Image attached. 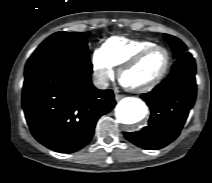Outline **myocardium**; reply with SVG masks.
<instances>
[{
	"instance_id": "1",
	"label": "myocardium",
	"mask_w": 212,
	"mask_h": 183,
	"mask_svg": "<svg viewBox=\"0 0 212 183\" xmlns=\"http://www.w3.org/2000/svg\"><path fill=\"white\" fill-rule=\"evenodd\" d=\"M157 49L164 50L166 53V57H167L165 66H164L163 70L159 73V75L156 78H154L152 81H150L149 83L142 85V86H128V85L124 84V82H123L124 74L129 69L136 66L149 53H151L152 51L157 50ZM171 63H172V55H171L170 50L166 46L160 45V44L152 45V46L142 49L141 51L136 53L134 56H132L129 60H127L125 63H123L119 69V78L122 81V83L126 89H128L132 92H135V93H146V92H149L152 89H154L156 86H158L162 82V80L165 78V76L167 75V73L171 67Z\"/></svg>"
}]
</instances>
